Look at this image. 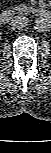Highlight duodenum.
I'll return each instance as SVG.
<instances>
[{"mask_svg":"<svg viewBox=\"0 0 51 153\" xmlns=\"http://www.w3.org/2000/svg\"><path fill=\"white\" fill-rule=\"evenodd\" d=\"M14 16H15V12L13 10L5 9V10L1 11V13H0V21L3 24H6ZM32 16L33 17H41V18H44V19L48 20L50 18V13L47 9L39 7V8H35L32 11Z\"/></svg>","mask_w":51,"mask_h":153,"instance_id":"410a0bca","label":"duodenum"}]
</instances>
